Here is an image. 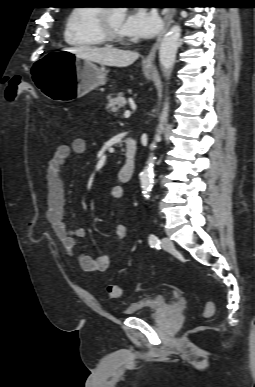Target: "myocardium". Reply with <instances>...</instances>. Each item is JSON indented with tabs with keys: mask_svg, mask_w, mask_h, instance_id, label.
I'll use <instances>...</instances> for the list:
<instances>
[{
	"mask_svg": "<svg viewBox=\"0 0 255 387\" xmlns=\"http://www.w3.org/2000/svg\"><path fill=\"white\" fill-rule=\"evenodd\" d=\"M111 10L110 8H100L98 13V29L105 42L112 44L122 43L126 38L125 35L113 29L110 20Z\"/></svg>",
	"mask_w": 255,
	"mask_h": 387,
	"instance_id": "f54148a6",
	"label": "myocardium"
}]
</instances>
